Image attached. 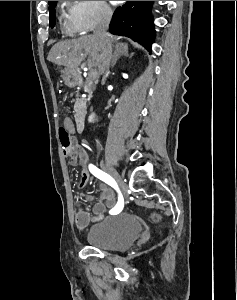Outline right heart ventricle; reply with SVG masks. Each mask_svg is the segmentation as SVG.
Masks as SVG:
<instances>
[{
  "label": "right heart ventricle",
  "instance_id": "e07e8e85",
  "mask_svg": "<svg viewBox=\"0 0 237 300\" xmlns=\"http://www.w3.org/2000/svg\"><path fill=\"white\" fill-rule=\"evenodd\" d=\"M64 26H65V29H66V30H70V29H69V26H68V22L65 21V22H64Z\"/></svg>",
  "mask_w": 237,
  "mask_h": 300
}]
</instances>
